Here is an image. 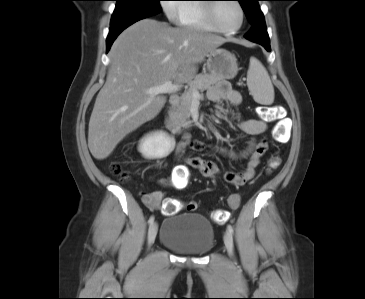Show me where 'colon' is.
<instances>
[{"mask_svg":"<svg viewBox=\"0 0 365 299\" xmlns=\"http://www.w3.org/2000/svg\"><path fill=\"white\" fill-rule=\"evenodd\" d=\"M260 114L262 118L269 122H276V125L273 129L272 136L278 141L282 142L286 139L287 136V127L283 118V109L280 106H262L260 108ZM278 165V160L273 159L270 162V168H275ZM110 170L112 174L118 176L122 181L128 180V173L122 169L119 163H112L110 166ZM177 187L183 188L186 183L185 175H178L176 177ZM240 198L238 195H231L229 198V206L231 209H236L239 206ZM183 204L177 200L170 199L167 200L162 207V213L164 215H173L177 213ZM196 207L195 203L190 202L187 204L188 210H194ZM229 218V213L226 209H216L212 213V219L217 224L225 223Z\"/></svg>","mask_w":365,"mask_h":299,"instance_id":"colon-1","label":"colon"}]
</instances>
